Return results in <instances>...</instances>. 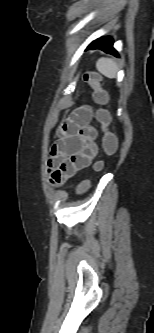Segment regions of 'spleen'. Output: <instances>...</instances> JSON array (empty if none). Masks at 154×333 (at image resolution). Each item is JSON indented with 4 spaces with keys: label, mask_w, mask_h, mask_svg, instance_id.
I'll return each instance as SVG.
<instances>
[{
    "label": "spleen",
    "mask_w": 154,
    "mask_h": 333,
    "mask_svg": "<svg viewBox=\"0 0 154 333\" xmlns=\"http://www.w3.org/2000/svg\"><path fill=\"white\" fill-rule=\"evenodd\" d=\"M97 70L108 78H115L118 65L113 59L100 58L96 63Z\"/></svg>",
    "instance_id": "1"
}]
</instances>
